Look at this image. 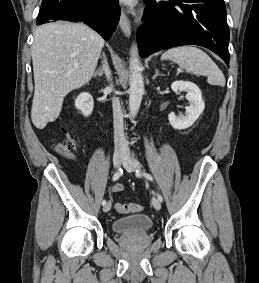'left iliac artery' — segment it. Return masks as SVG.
<instances>
[{
    "label": "left iliac artery",
    "mask_w": 259,
    "mask_h": 283,
    "mask_svg": "<svg viewBox=\"0 0 259 283\" xmlns=\"http://www.w3.org/2000/svg\"><path fill=\"white\" fill-rule=\"evenodd\" d=\"M137 172H139V171L137 170ZM142 174H143V176H145V177H146L147 179H149L150 181H153V177H152L150 174L145 173V172H143ZM157 198L160 200V202L163 201V197H162L161 194H159V193H157Z\"/></svg>",
    "instance_id": "1"
}]
</instances>
